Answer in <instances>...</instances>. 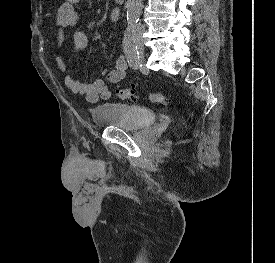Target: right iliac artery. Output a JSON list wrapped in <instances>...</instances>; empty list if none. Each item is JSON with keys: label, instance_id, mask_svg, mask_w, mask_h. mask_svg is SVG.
<instances>
[{"label": "right iliac artery", "instance_id": "1", "mask_svg": "<svg viewBox=\"0 0 275 263\" xmlns=\"http://www.w3.org/2000/svg\"><path fill=\"white\" fill-rule=\"evenodd\" d=\"M123 49L129 65L133 69H138L140 66L139 53L130 30H128L124 35Z\"/></svg>", "mask_w": 275, "mask_h": 263}]
</instances>
